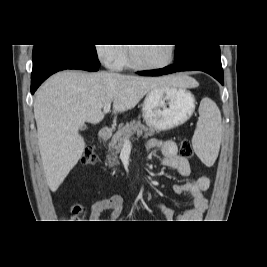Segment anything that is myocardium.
Segmentation results:
<instances>
[{"mask_svg": "<svg viewBox=\"0 0 267 267\" xmlns=\"http://www.w3.org/2000/svg\"><path fill=\"white\" fill-rule=\"evenodd\" d=\"M168 46H169V58L164 63L159 65H147L138 62L134 56L133 47L127 46V53H126L127 62L130 66L139 70L153 71V70L163 69L169 66L173 62L175 57V48L173 44H168Z\"/></svg>", "mask_w": 267, "mask_h": 267, "instance_id": "f54148a6", "label": "myocardium"}]
</instances>
